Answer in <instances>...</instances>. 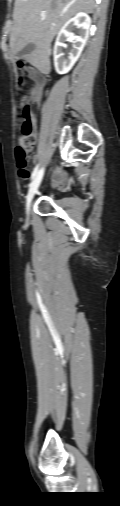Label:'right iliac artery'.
<instances>
[{"label":"right iliac artery","instance_id":"obj_1","mask_svg":"<svg viewBox=\"0 0 120 506\" xmlns=\"http://www.w3.org/2000/svg\"><path fill=\"white\" fill-rule=\"evenodd\" d=\"M43 175V170H38V165L35 167L33 173H32V176H31V179H35L37 176H42Z\"/></svg>","mask_w":120,"mask_h":506}]
</instances>
